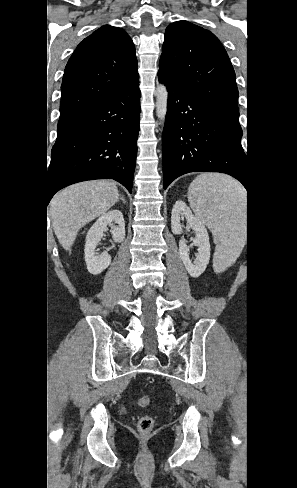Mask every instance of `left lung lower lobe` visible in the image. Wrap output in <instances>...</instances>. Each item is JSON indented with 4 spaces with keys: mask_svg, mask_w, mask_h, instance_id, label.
I'll list each match as a JSON object with an SVG mask.
<instances>
[{
    "mask_svg": "<svg viewBox=\"0 0 297 488\" xmlns=\"http://www.w3.org/2000/svg\"><path fill=\"white\" fill-rule=\"evenodd\" d=\"M168 106L162 137L164 189L189 172H221L249 192L250 179L237 119L200 102L162 75Z\"/></svg>",
    "mask_w": 297,
    "mask_h": 488,
    "instance_id": "left-lung-lower-lobe-1",
    "label": "left lung lower lobe"
}]
</instances>
